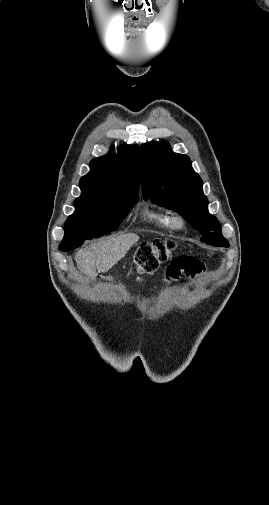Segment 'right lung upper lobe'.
<instances>
[{
  "label": "right lung upper lobe",
  "mask_w": 269,
  "mask_h": 505,
  "mask_svg": "<svg viewBox=\"0 0 269 505\" xmlns=\"http://www.w3.org/2000/svg\"><path fill=\"white\" fill-rule=\"evenodd\" d=\"M80 179L81 196H136L139 194V147L122 145L90 163Z\"/></svg>",
  "instance_id": "obj_1"
}]
</instances>
